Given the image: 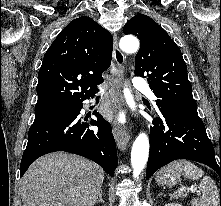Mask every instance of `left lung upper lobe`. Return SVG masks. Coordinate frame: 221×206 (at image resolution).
<instances>
[{
    "mask_svg": "<svg viewBox=\"0 0 221 206\" xmlns=\"http://www.w3.org/2000/svg\"><path fill=\"white\" fill-rule=\"evenodd\" d=\"M123 32L133 34L140 40V49L135 58V74L148 77L149 86L158 98L156 104L160 111L198 116L186 63L167 32L143 14L131 18Z\"/></svg>",
    "mask_w": 221,
    "mask_h": 206,
    "instance_id": "obj_1",
    "label": "left lung upper lobe"
}]
</instances>
